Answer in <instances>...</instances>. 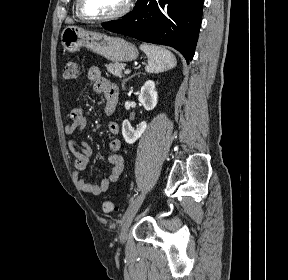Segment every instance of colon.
<instances>
[{"instance_id": "5ec220e1", "label": "colon", "mask_w": 288, "mask_h": 280, "mask_svg": "<svg viewBox=\"0 0 288 280\" xmlns=\"http://www.w3.org/2000/svg\"><path fill=\"white\" fill-rule=\"evenodd\" d=\"M81 74L79 63L72 59L69 60L64 68V77L67 80L73 81L77 80ZM115 210V204L112 201H105L103 203V211L106 213L112 212Z\"/></svg>"}]
</instances>
